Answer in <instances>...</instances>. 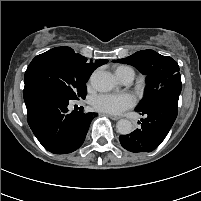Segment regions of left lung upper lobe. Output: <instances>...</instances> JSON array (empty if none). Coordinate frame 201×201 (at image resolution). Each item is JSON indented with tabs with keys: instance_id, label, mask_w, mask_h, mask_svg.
Returning a JSON list of instances; mask_svg holds the SVG:
<instances>
[{
	"instance_id": "5c2ea615",
	"label": "left lung upper lobe",
	"mask_w": 201,
	"mask_h": 201,
	"mask_svg": "<svg viewBox=\"0 0 201 201\" xmlns=\"http://www.w3.org/2000/svg\"><path fill=\"white\" fill-rule=\"evenodd\" d=\"M117 62L133 65L147 76L145 95L136 110L145 109L160 100L178 102L182 89L181 76L177 62L171 57L153 50H141Z\"/></svg>"
}]
</instances>
